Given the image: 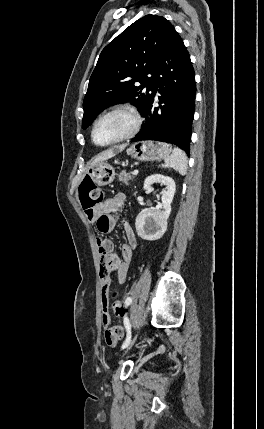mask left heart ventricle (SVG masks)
<instances>
[{"label":"left heart ventricle","instance_id":"obj_1","mask_svg":"<svg viewBox=\"0 0 264 429\" xmlns=\"http://www.w3.org/2000/svg\"><path fill=\"white\" fill-rule=\"evenodd\" d=\"M132 125L130 117L123 114H114L103 119L95 131L98 143L105 144L126 134Z\"/></svg>","mask_w":264,"mask_h":429}]
</instances>
